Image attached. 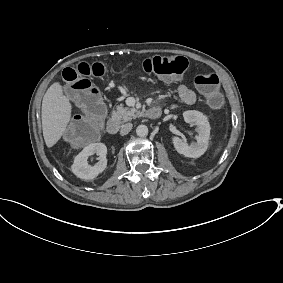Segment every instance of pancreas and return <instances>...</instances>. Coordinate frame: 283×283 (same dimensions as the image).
Returning <instances> with one entry per match:
<instances>
[{
  "mask_svg": "<svg viewBox=\"0 0 283 283\" xmlns=\"http://www.w3.org/2000/svg\"><path fill=\"white\" fill-rule=\"evenodd\" d=\"M141 116V112L135 108L128 109L123 104H120L116 107L111 114V119L115 121H119L121 123L131 121L134 118H138Z\"/></svg>",
  "mask_w": 283,
  "mask_h": 283,
  "instance_id": "1",
  "label": "pancreas"
}]
</instances>
